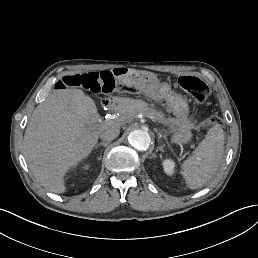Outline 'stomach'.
<instances>
[{"label": "stomach", "instance_id": "1", "mask_svg": "<svg viewBox=\"0 0 258 258\" xmlns=\"http://www.w3.org/2000/svg\"><path fill=\"white\" fill-rule=\"evenodd\" d=\"M135 77L139 82H150V77L148 75L136 73ZM157 91L167 98V102L173 114L177 117V120L181 121V126H177L180 127V129L174 131L171 141L177 144L188 143L192 134L188 129V122L186 120L188 113L187 102L180 95L174 94L168 83L160 84Z\"/></svg>", "mask_w": 258, "mask_h": 258}]
</instances>
